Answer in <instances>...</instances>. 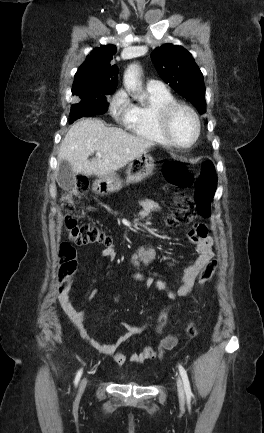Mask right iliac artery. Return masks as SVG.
Wrapping results in <instances>:
<instances>
[{
    "label": "right iliac artery",
    "instance_id": "right-iliac-artery-1",
    "mask_svg": "<svg viewBox=\"0 0 264 433\" xmlns=\"http://www.w3.org/2000/svg\"><path fill=\"white\" fill-rule=\"evenodd\" d=\"M82 372H83L82 369H80V370L77 372V375H76L75 380H74V384H75V385L78 384V382H79V380H80V378H81Z\"/></svg>",
    "mask_w": 264,
    "mask_h": 433
}]
</instances>
